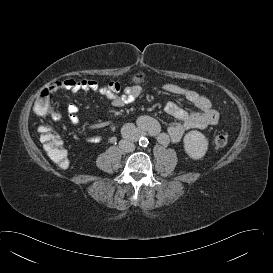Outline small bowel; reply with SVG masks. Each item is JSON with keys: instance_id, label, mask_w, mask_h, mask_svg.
I'll return each mask as SVG.
<instances>
[{"instance_id": "c3829d8e", "label": "small bowel", "mask_w": 273, "mask_h": 273, "mask_svg": "<svg viewBox=\"0 0 273 273\" xmlns=\"http://www.w3.org/2000/svg\"><path fill=\"white\" fill-rule=\"evenodd\" d=\"M61 88L67 89H83L91 91L93 93H103L104 90L101 88L99 83L95 80H65L61 82ZM164 89L167 92L174 94H181L187 101L192 103L200 112L187 113L173 102H167L163 106V111L177 119L176 122L171 123L165 131H162L160 123L149 116H140L137 119L138 125H144L145 129L153 136H156L161 144H169L170 142H178L184 135V133L193 128H205L208 126L216 125L219 121V113L217 110L212 108L210 102L196 92L192 90L184 89L175 84H166ZM109 93L118 94L120 93L121 87L117 82H110L107 86ZM141 88L139 86L127 87L124 91L117 95L113 104L116 107H122L133 102L139 97ZM69 120L70 123L77 127L79 126V118L77 116L78 108L76 105H69ZM104 125V124H102ZM90 142H97L100 140L99 134H90L87 136Z\"/></svg>"}]
</instances>
